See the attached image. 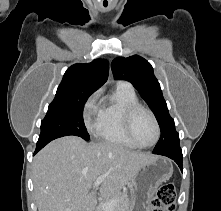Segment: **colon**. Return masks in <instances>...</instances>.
<instances>
[{
  "mask_svg": "<svg viewBox=\"0 0 221 211\" xmlns=\"http://www.w3.org/2000/svg\"><path fill=\"white\" fill-rule=\"evenodd\" d=\"M176 191L172 183L163 184L153 201L154 211H175Z\"/></svg>",
  "mask_w": 221,
  "mask_h": 211,
  "instance_id": "1",
  "label": "colon"
}]
</instances>
